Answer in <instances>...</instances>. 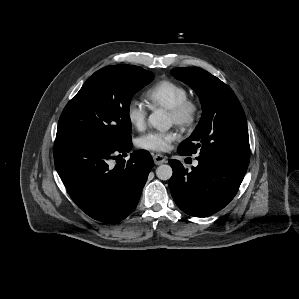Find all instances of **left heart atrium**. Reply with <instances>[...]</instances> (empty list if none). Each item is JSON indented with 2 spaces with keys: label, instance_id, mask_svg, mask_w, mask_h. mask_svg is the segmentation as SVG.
<instances>
[{
  "label": "left heart atrium",
  "instance_id": "left-heart-atrium-1",
  "mask_svg": "<svg viewBox=\"0 0 299 299\" xmlns=\"http://www.w3.org/2000/svg\"><path fill=\"white\" fill-rule=\"evenodd\" d=\"M177 139V133L174 130L169 131H151L141 135L137 139V146L141 149L151 151H165L171 142Z\"/></svg>",
  "mask_w": 299,
  "mask_h": 299
}]
</instances>
